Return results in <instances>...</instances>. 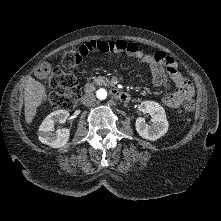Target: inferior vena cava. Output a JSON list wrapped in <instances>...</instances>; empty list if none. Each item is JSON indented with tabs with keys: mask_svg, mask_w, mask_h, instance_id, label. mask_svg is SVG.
<instances>
[{
	"mask_svg": "<svg viewBox=\"0 0 221 221\" xmlns=\"http://www.w3.org/2000/svg\"><path fill=\"white\" fill-rule=\"evenodd\" d=\"M95 101H96L95 95L92 93L85 94L82 98L83 105L87 107L94 105Z\"/></svg>",
	"mask_w": 221,
	"mask_h": 221,
	"instance_id": "1",
	"label": "inferior vena cava"
}]
</instances>
